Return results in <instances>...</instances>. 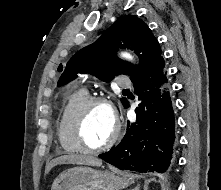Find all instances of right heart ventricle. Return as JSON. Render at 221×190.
<instances>
[{
	"label": "right heart ventricle",
	"mask_w": 221,
	"mask_h": 190,
	"mask_svg": "<svg viewBox=\"0 0 221 190\" xmlns=\"http://www.w3.org/2000/svg\"><path fill=\"white\" fill-rule=\"evenodd\" d=\"M88 92L85 89L73 91L65 100L57 121V136L61 149L66 153L78 152L70 134L71 118L78 106L88 99Z\"/></svg>",
	"instance_id": "e07e8e85"
}]
</instances>
